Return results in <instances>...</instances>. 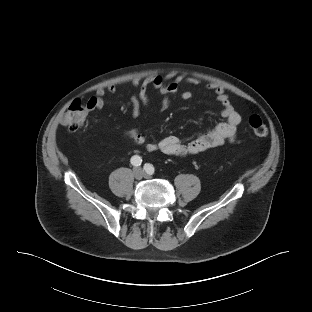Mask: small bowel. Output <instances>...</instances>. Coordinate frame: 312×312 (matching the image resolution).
I'll return each instance as SVG.
<instances>
[{"label": "small bowel", "mask_w": 312, "mask_h": 312, "mask_svg": "<svg viewBox=\"0 0 312 312\" xmlns=\"http://www.w3.org/2000/svg\"><path fill=\"white\" fill-rule=\"evenodd\" d=\"M199 83L198 79L188 78L185 74L163 78L152 76L145 79H135L134 86L137 93L132 96V114L139 116L140 105L149 106L148 89L153 88L163 95L162 108H166L170 102V96L178 95L184 100H189L193 94L189 90L180 88L181 83ZM206 90L212 93L215 100L221 106L223 121L219 122L212 130L198 135L191 140H183L177 136H167L159 141H150L148 134L140 129H131L126 132L136 145H142L148 152H161L174 156H189L200 153L206 149L222 145L226 142H233L237 137V129L241 122L240 114L233 108L229 96L225 90L215 84L205 86ZM116 87L109 85L106 88H98L96 95L91 97L87 106L90 111L101 110L105 106L104 97L106 93L114 94Z\"/></svg>", "instance_id": "small-bowel-1"}]
</instances>
